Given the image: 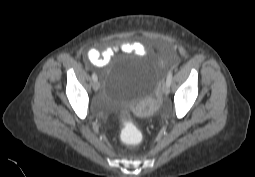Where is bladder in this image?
<instances>
[{
  "label": "bladder",
  "mask_w": 255,
  "mask_h": 177,
  "mask_svg": "<svg viewBox=\"0 0 255 177\" xmlns=\"http://www.w3.org/2000/svg\"><path fill=\"white\" fill-rule=\"evenodd\" d=\"M159 62L136 56L121 63L105 79L104 95L115 105L146 111L156 98Z\"/></svg>",
  "instance_id": "31cf9c89"
}]
</instances>
